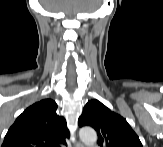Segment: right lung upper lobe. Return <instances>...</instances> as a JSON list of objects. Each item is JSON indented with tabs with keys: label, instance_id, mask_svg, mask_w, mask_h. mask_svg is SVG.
Listing matches in <instances>:
<instances>
[{
	"label": "right lung upper lobe",
	"instance_id": "obj_1",
	"mask_svg": "<svg viewBox=\"0 0 163 147\" xmlns=\"http://www.w3.org/2000/svg\"><path fill=\"white\" fill-rule=\"evenodd\" d=\"M57 104L44 99L28 107L8 130L2 147H58L69 137L66 120L56 114Z\"/></svg>",
	"mask_w": 163,
	"mask_h": 147
}]
</instances>
